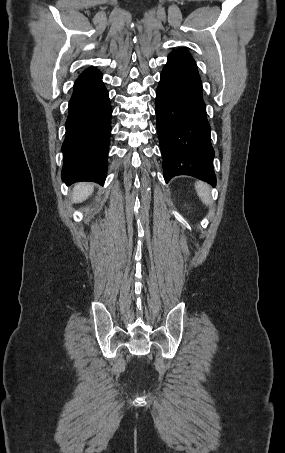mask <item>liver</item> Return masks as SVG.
Listing matches in <instances>:
<instances>
[{"mask_svg": "<svg viewBox=\"0 0 285 453\" xmlns=\"http://www.w3.org/2000/svg\"><path fill=\"white\" fill-rule=\"evenodd\" d=\"M93 192V185L90 183L76 184L73 190V201L75 203L83 202Z\"/></svg>", "mask_w": 285, "mask_h": 453, "instance_id": "1", "label": "liver"}]
</instances>
